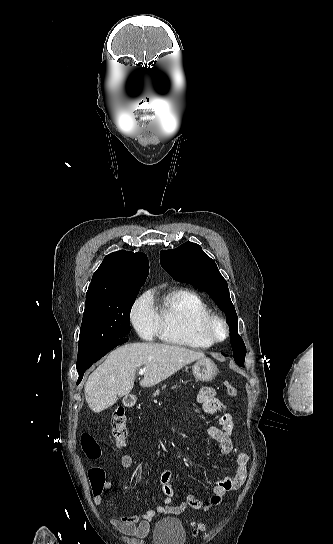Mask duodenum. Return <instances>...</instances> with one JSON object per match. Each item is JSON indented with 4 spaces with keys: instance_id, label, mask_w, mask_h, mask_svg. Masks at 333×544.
<instances>
[{
    "instance_id": "1",
    "label": "duodenum",
    "mask_w": 333,
    "mask_h": 544,
    "mask_svg": "<svg viewBox=\"0 0 333 544\" xmlns=\"http://www.w3.org/2000/svg\"><path fill=\"white\" fill-rule=\"evenodd\" d=\"M124 403L127 407H133L136 404V397L133 395H127L124 399Z\"/></svg>"
}]
</instances>
